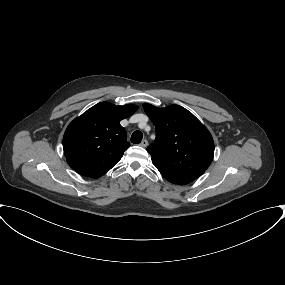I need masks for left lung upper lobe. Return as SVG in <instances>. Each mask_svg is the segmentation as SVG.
Wrapping results in <instances>:
<instances>
[{
  "instance_id": "5c2ea615",
  "label": "left lung upper lobe",
  "mask_w": 285,
  "mask_h": 285,
  "mask_svg": "<svg viewBox=\"0 0 285 285\" xmlns=\"http://www.w3.org/2000/svg\"><path fill=\"white\" fill-rule=\"evenodd\" d=\"M156 128L155 142L148 146L156 168L198 178L209 167L214 142L207 128L179 105L157 108L143 104Z\"/></svg>"
}]
</instances>
